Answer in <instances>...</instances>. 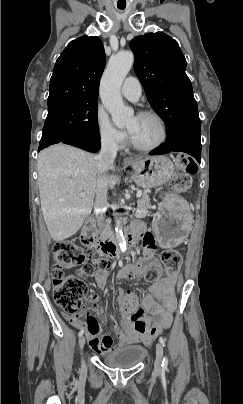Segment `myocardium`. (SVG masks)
Here are the masks:
<instances>
[{"label": "myocardium", "instance_id": "myocardium-1", "mask_svg": "<svg viewBox=\"0 0 243 404\" xmlns=\"http://www.w3.org/2000/svg\"><path fill=\"white\" fill-rule=\"evenodd\" d=\"M129 34H134V32H129ZM138 116H150V117H154L155 119H157L161 126L162 135H161V138L159 139V141H157L156 143H154L152 145H141V144L135 142L130 135L131 146L138 151H145V152L154 151V150H157L160 147H162L167 142L168 137H169V128H168V124H167L165 118L160 113H158L154 110H143V111L139 112Z\"/></svg>", "mask_w": 243, "mask_h": 404}]
</instances>
